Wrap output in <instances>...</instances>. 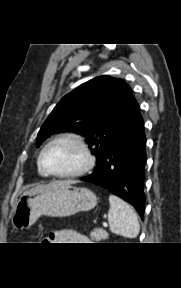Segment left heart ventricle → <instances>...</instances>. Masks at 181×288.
<instances>
[{
    "label": "left heart ventricle",
    "mask_w": 181,
    "mask_h": 288,
    "mask_svg": "<svg viewBox=\"0 0 181 288\" xmlns=\"http://www.w3.org/2000/svg\"><path fill=\"white\" fill-rule=\"evenodd\" d=\"M46 166L55 173H69L83 163L81 150L70 141H60L51 145L44 155Z\"/></svg>",
    "instance_id": "1"
}]
</instances>
